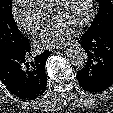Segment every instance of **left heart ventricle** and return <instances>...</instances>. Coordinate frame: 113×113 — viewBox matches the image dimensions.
Here are the masks:
<instances>
[{
  "label": "left heart ventricle",
  "mask_w": 113,
  "mask_h": 113,
  "mask_svg": "<svg viewBox=\"0 0 113 113\" xmlns=\"http://www.w3.org/2000/svg\"><path fill=\"white\" fill-rule=\"evenodd\" d=\"M88 0H61L49 15L51 22L59 21L74 28L87 14Z\"/></svg>",
  "instance_id": "1"
}]
</instances>
